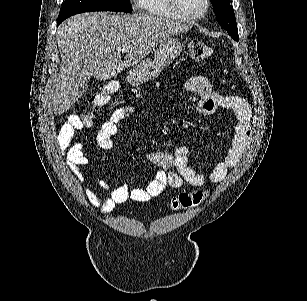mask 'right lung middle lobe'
Returning <instances> with one entry per match:
<instances>
[{
  "mask_svg": "<svg viewBox=\"0 0 307 301\" xmlns=\"http://www.w3.org/2000/svg\"><path fill=\"white\" fill-rule=\"evenodd\" d=\"M90 11L131 13L132 7L129 0H65L60 9L57 25L72 15Z\"/></svg>",
  "mask_w": 307,
  "mask_h": 301,
  "instance_id": "obj_1",
  "label": "right lung middle lobe"
}]
</instances>
